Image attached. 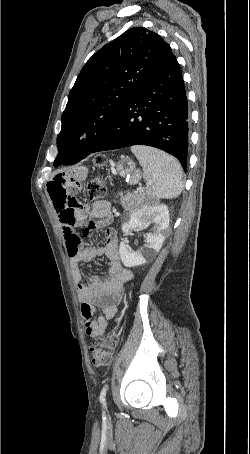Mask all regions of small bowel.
Masks as SVG:
<instances>
[{
    "instance_id": "obj_1",
    "label": "small bowel",
    "mask_w": 250,
    "mask_h": 454,
    "mask_svg": "<svg viewBox=\"0 0 250 454\" xmlns=\"http://www.w3.org/2000/svg\"><path fill=\"white\" fill-rule=\"evenodd\" d=\"M82 189L80 177L57 175L47 185L53 207L58 215L68 255L71 259L72 275L77 283L81 300V313L85 320L86 333L96 337L107 329L108 320L115 317L117 303L125 284L132 273L121 263L119 242L115 231L109 228L112 220L111 206L107 201H97L92 206L80 202L74 192ZM88 221L85 235L93 229H106V239L101 247L84 246L76 228ZM106 255L109 271L104 276L86 279L79 263ZM99 309L103 315L95 316Z\"/></svg>"
}]
</instances>
